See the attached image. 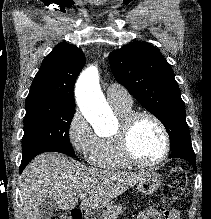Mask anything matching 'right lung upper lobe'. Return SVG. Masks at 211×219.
<instances>
[{
    "mask_svg": "<svg viewBox=\"0 0 211 219\" xmlns=\"http://www.w3.org/2000/svg\"><path fill=\"white\" fill-rule=\"evenodd\" d=\"M82 50L60 43L44 58L27 96L26 103L47 101L58 106L75 107L74 83L84 67Z\"/></svg>",
    "mask_w": 211,
    "mask_h": 219,
    "instance_id": "right-lung-upper-lobe-1",
    "label": "right lung upper lobe"
}]
</instances>
